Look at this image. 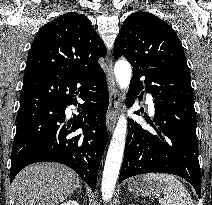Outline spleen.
<instances>
[{"instance_id":"spleen-1","label":"spleen","mask_w":212,"mask_h":205,"mask_svg":"<svg viewBox=\"0 0 212 205\" xmlns=\"http://www.w3.org/2000/svg\"><path fill=\"white\" fill-rule=\"evenodd\" d=\"M145 182H160L164 184V197L159 199L161 205H194L185 186L171 174L150 173L143 177Z\"/></svg>"}]
</instances>
